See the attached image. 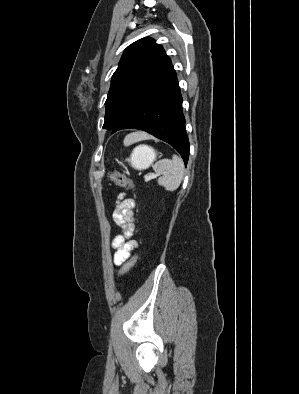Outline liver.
<instances>
[{
	"label": "liver",
	"mask_w": 299,
	"mask_h": 394,
	"mask_svg": "<svg viewBox=\"0 0 299 394\" xmlns=\"http://www.w3.org/2000/svg\"><path fill=\"white\" fill-rule=\"evenodd\" d=\"M147 137H149V136L144 132L133 133V134L126 137L127 140L124 141V143H125V145H130L140 139L147 138Z\"/></svg>",
	"instance_id": "obj_1"
}]
</instances>
